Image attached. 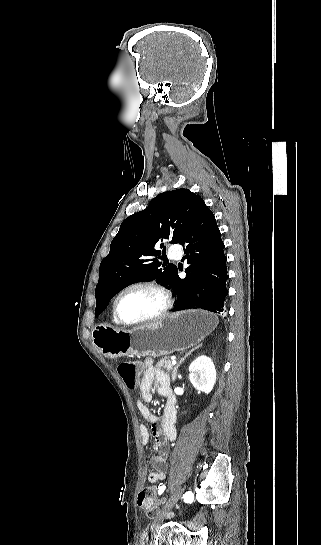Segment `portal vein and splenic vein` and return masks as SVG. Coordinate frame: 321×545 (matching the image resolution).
<instances>
[{
	"label": "portal vein and splenic vein",
	"instance_id": "18ae733b",
	"mask_svg": "<svg viewBox=\"0 0 321 545\" xmlns=\"http://www.w3.org/2000/svg\"><path fill=\"white\" fill-rule=\"evenodd\" d=\"M172 359H177V356L171 355Z\"/></svg>",
	"mask_w": 321,
	"mask_h": 545
}]
</instances>
